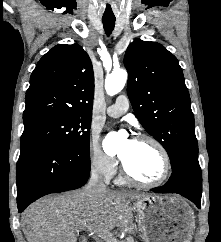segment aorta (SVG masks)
I'll return each mask as SVG.
<instances>
[{"instance_id": "obj_1", "label": "aorta", "mask_w": 221, "mask_h": 242, "mask_svg": "<svg viewBox=\"0 0 221 242\" xmlns=\"http://www.w3.org/2000/svg\"><path fill=\"white\" fill-rule=\"evenodd\" d=\"M127 71L125 69H118L109 74L105 79V90L110 96L118 94L125 86L127 81ZM123 142V137L120 133H109L104 142L103 148L106 152H116Z\"/></svg>"}]
</instances>
